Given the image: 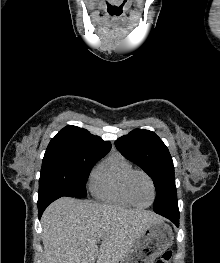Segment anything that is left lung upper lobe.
Here are the masks:
<instances>
[{"label":"left lung upper lobe","mask_w":220,"mask_h":263,"mask_svg":"<svg viewBox=\"0 0 220 263\" xmlns=\"http://www.w3.org/2000/svg\"><path fill=\"white\" fill-rule=\"evenodd\" d=\"M128 160L140 166L154 181V211L178 210L173 161L163 141L152 131L135 129L115 141Z\"/></svg>","instance_id":"obj_1"}]
</instances>
